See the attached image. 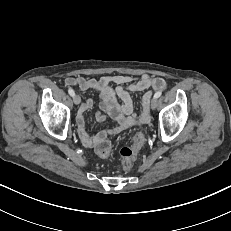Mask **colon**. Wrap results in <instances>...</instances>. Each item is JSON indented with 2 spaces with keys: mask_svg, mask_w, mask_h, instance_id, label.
<instances>
[{
  "mask_svg": "<svg viewBox=\"0 0 231 231\" xmlns=\"http://www.w3.org/2000/svg\"><path fill=\"white\" fill-rule=\"evenodd\" d=\"M146 140L145 133L142 130H138L132 140L131 146L123 147L120 151L122 158V165L125 171L132 168L139 150L142 148ZM96 151L102 158H108L111 155V143L107 138H104L96 145Z\"/></svg>",
  "mask_w": 231,
  "mask_h": 231,
  "instance_id": "5ec220e1",
  "label": "colon"
}]
</instances>
